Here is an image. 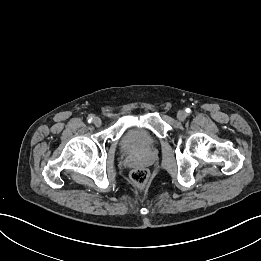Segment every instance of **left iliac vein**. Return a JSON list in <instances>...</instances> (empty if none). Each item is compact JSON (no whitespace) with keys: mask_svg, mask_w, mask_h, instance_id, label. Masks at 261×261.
<instances>
[{"mask_svg":"<svg viewBox=\"0 0 261 261\" xmlns=\"http://www.w3.org/2000/svg\"><path fill=\"white\" fill-rule=\"evenodd\" d=\"M186 117H187V114L183 110L178 111V113H177L178 120L184 121L186 119Z\"/></svg>","mask_w":261,"mask_h":261,"instance_id":"left-iliac-vein-1","label":"left iliac vein"}]
</instances>
